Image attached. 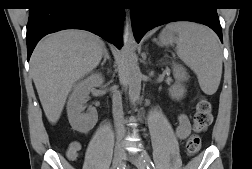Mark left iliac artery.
Segmentation results:
<instances>
[{
    "mask_svg": "<svg viewBox=\"0 0 252 169\" xmlns=\"http://www.w3.org/2000/svg\"><path fill=\"white\" fill-rule=\"evenodd\" d=\"M141 157L143 158L144 162L146 163L147 169H155V166L149 157L148 153L145 150H142Z\"/></svg>",
    "mask_w": 252,
    "mask_h": 169,
    "instance_id": "left-iliac-artery-1",
    "label": "left iliac artery"
}]
</instances>
